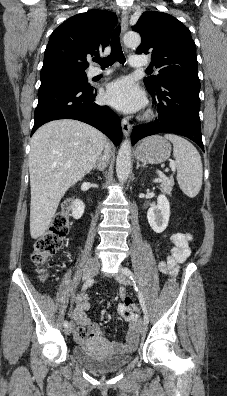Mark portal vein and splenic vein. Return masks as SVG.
<instances>
[{"label":"portal vein and splenic vein","mask_w":227,"mask_h":396,"mask_svg":"<svg viewBox=\"0 0 227 396\" xmlns=\"http://www.w3.org/2000/svg\"><path fill=\"white\" fill-rule=\"evenodd\" d=\"M171 167H172V172L174 173V172L176 171L175 165H174V164H171ZM159 175H160V178L155 179V180H154L155 182H161V181L165 178L164 175H163V173L160 172Z\"/></svg>","instance_id":"18ae733b"}]
</instances>
